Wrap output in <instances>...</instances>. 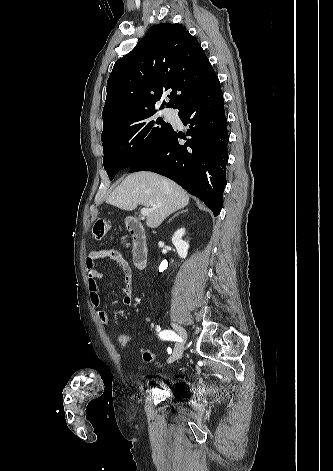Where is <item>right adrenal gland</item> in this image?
<instances>
[{"label":"right adrenal gland","instance_id":"obj_1","mask_svg":"<svg viewBox=\"0 0 333 471\" xmlns=\"http://www.w3.org/2000/svg\"><path fill=\"white\" fill-rule=\"evenodd\" d=\"M187 211H188V209H185V210H182V211L176 213L173 217H171V218L169 219V221H171L173 218L177 217L179 214L184 213V212H187Z\"/></svg>","mask_w":333,"mask_h":471}]
</instances>
